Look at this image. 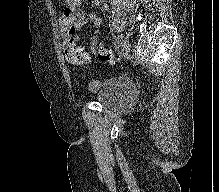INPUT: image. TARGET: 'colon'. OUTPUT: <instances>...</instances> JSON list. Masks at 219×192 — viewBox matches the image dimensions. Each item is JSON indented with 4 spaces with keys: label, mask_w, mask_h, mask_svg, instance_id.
Listing matches in <instances>:
<instances>
[{
    "label": "colon",
    "mask_w": 219,
    "mask_h": 192,
    "mask_svg": "<svg viewBox=\"0 0 219 192\" xmlns=\"http://www.w3.org/2000/svg\"><path fill=\"white\" fill-rule=\"evenodd\" d=\"M64 53L67 61L72 65H84L90 63L89 53L80 50L72 37V34L69 32L64 38ZM92 50L98 59L105 63H114L117 58L114 54L98 42L92 45Z\"/></svg>",
    "instance_id": "obj_1"
}]
</instances>
